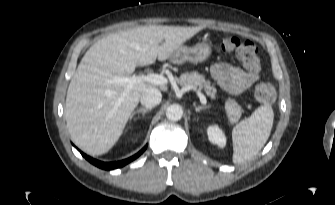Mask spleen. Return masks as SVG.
I'll list each match as a JSON object with an SVG mask.
<instances>
[{"instance_id": "1", "label": "spleen", "mask_w": 335, "mask_h": 205, "mask_svg": "<svg viewBox=\"0 0 335 205\" xmlns=\"http://www.w3.org/2000/svg\"><path fill=\"white\" fill-rule=\"evenodd\" d=\"M274 112L270 105L258 107L250 118L242 120L232 130L233 163L251 160L267 142L273 126Z\"/></svg>"}]
</instances>
